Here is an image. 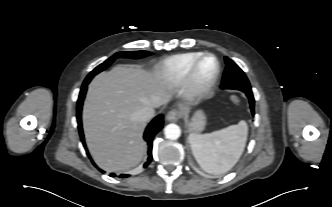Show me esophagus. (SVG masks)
I'll return each mask as SVG.
<instances>
[{
  "mask_svg": "<svg viewBox=\"0 0 332 207\" xmlns=\"http://www.w3.org/2000/svg\"><path fill=\"white\" fill-rule=\"evenodd\" d=\"M180 117H181V112L176 109L170 110L166 115V119L169 122H175V121L179 120Z\"/></svg>",
  "mask_w": 332,
  "mask_h": 207,
  "instance_id": "esophagus-1",
  "label": "esophagus"
}]
</instances>
